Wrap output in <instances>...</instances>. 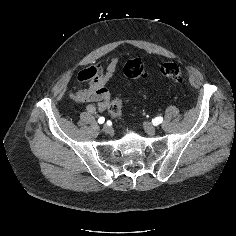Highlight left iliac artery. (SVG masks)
Wrapping results in <instances>:
<instances>
[{"instance_id":"obj_1","label":"left iliac artery","mask_w":236,"mask_h":236,"mask_svg":"<svg viewBox=\"0 0 236 236\" xmlns=\"http://www.w3.org/2000/svg\"><path fill=\"white\" fill-rule=\"evenodd\" d=\"M163 122V118L160 116V117H156L154 120H153V124L154 125H157V124H160Z\"/></svg>"}]
</instances>
